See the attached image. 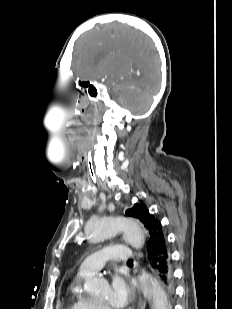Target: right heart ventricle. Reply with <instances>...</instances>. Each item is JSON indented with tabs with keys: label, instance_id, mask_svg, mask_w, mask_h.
<instances>
[{
	"label": "right heart ventricle",
	"instance_id": "1",
	"mask_svg": "<svg viewBox=\"0 0 232 309\" xmlns=\"http://www.w3.org/2000/svg\"><path fill=\"white\" fill-rule=\"evenodd\" d=\"M87 277L77 274L74 281L70 284L67 292V309H100L97 302L86 296L81 291V282Z\"/></svg>",
	"mask_w": 232,
	"mask_h": 309
}]
</instances>
